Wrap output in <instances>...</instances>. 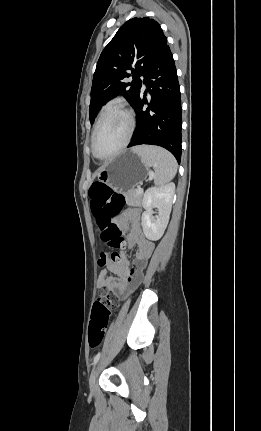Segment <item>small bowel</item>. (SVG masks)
<instances>
[{"mask_svg":"<svg viewBox=\"0 0 261 431\" xmlns=\"http://www.w3.org/2000/svg\"><path fill=\"white\" fill-rule=\"evenodd\" d=\"M140 210L128 208L119 218V226L122 230H128L126 244L129 248L136 247L134 260L129 265L128 259L121 255L116 263L108 262L101 269L98 276V286L119 298L125 297L141 280L142 272L146 268L148 260L154 251V243L147 240L140 226ZM109 272L115 276L109 275Z\"/></svg>","mask_w":261,"mask_h":431,"instance_id":"obj_1","label":"small bowel"}]
</instances>
